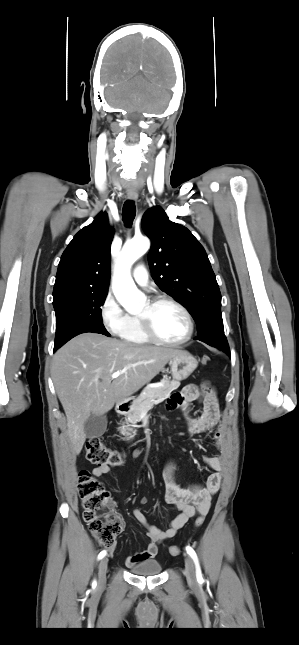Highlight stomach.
Returning <instances> with one entry per match:
<instances>
[{
	"label": "stomach",
	"instance_id": "obj_1",
	"mask_svg": "<svg viewBox=\"0 0 299 645\" xmlns=\"http://www.w3.org/2000/svg\"><path fill=\"white\" fill-rule=\"evenodd\" d=\"M171 373L176 381L187 379L197 368L198 361L187 351H182L170 360Z\"/></svg>",
	"mask_w": 299,
	"mask_h": 645
}]
</instances>
